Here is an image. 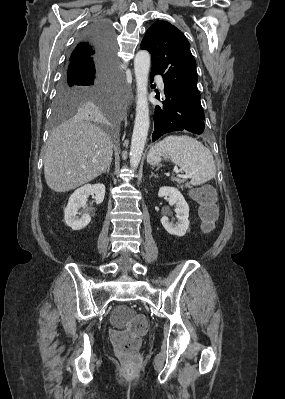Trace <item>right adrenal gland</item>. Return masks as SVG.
<instances>
[{"instance_id":"obj_1","label":"right adrenal gland","mask_w":285,"mask_h":399,"mask_svg":"<svg viewBox=\"0 0 285 399\" xmlns=\"http://www.w3.org/2000/svg\"><path fill=\"white\" fill-rule=\"evenodd\" d=\"M109 171H110V166H108L107 169L103 173L107 172V174H109Z\"/></svg>"}]
</instances>
